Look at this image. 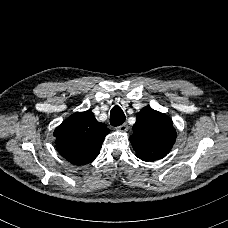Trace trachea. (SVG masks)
Listing matches in <instances>:
<instances>
[{
    "mask_svg": "<svg viewBox=\"0 0 228 228\" xmlns=\"http://www.w3.org/2000/svg\"><path fill=\"white\" fill-rule=\"evenodd\" d=\"M126 120L125 114L123 113L122 109L119 106H115L111 110L110 114V124L112 126H120Z\"/></svg>",
    "mask_w": 228,
    "mask_h": 228,
    "instance_id": "1",
    "label": "trachea"
}]
</instances>
